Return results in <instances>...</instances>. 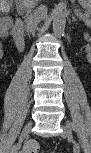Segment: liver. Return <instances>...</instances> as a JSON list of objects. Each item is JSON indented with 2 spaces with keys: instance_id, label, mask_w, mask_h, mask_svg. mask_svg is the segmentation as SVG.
I'll list each match as a JSON object with an SVG mask.
<instances>
[{
  "instance_id": "liver-1",
  "label": "liver",
  "mask_w": 91,
  "mask_h": 153,
  "mask_svg": "<svg viewBox=\"0 0 91 153\" xmlns=\"http://www.w3.org/2000/svg\"><path fill=\"white\" fill-rule=\"evenodd\" d=\"M21 2V7L30 9L31 7H33L36 4V0H20ZM12 0H1V4L6 6V9L9 8V6L11 5Z\"/></svg>"
}]
</instances>
